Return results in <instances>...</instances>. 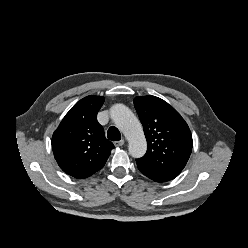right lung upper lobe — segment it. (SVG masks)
Here are the masks:
<instances>
[{
    "instance_id": "1",
    "label": "right lung upper lobe",
    "mask_w": 248,
    "mask_h": 248,
    "mask_svg": "<svg viewBox=\"0 0 248 248\" xmlns=\"http://www.w3.org/2000/svg\"><path fill=\"white\" fill-rule=\"evenodd\" d=\"M103 102L101 96L81 99L53 134L54 157L59 167L70 176L82 179L99 171L114 148L97 122V113Z\"/></svg>"
}]
</instances>
